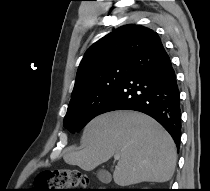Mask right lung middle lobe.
I'll list each match as a JSON object with an SVG mask.
<instances>
[{
	"label": "right lung middle lobe",
	"instance_id": "1",
	"mask_svg": "<svg viewBox=\"0 0 210 191\" xmlns=\"http://www.w3.org/2000/svg\"><path fill=\"white\" fill-rule=\"evenodd\" d=\"M129 63H115L98 71L88 84L71 96L64 127L70 132H79L95 116L119 83L123 80Z\"/></svg>",
	"mask_w": 210,
	"mask_h": 191
}]
</instances>
